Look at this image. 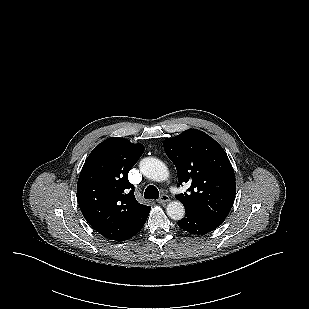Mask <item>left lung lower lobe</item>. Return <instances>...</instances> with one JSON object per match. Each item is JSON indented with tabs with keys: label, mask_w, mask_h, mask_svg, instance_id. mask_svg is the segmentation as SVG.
I'll return each instance as SVG.
<instances>
[{
	"label": "left lung lower lobe",
	"mask_w": 309,
	"mask_h": 309,
	"mask_svg": "<svg viewBox=\"0 0 309 309\" xmlns=\"http://www.w3.org/2000/svg\"><path fill=\"white\" fill-rule=\"evenodd\" d=\"M221 223L207 218L202 214L186 212L183 219L178 222V226L183 230L197 235H204L216 229Z\"/></svg>",
	"instance_id": "1"
}]
</instances>
